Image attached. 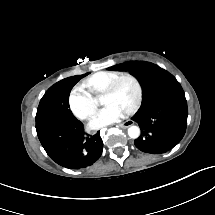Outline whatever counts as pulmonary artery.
<instances>
[{
    "mask_svg": "<svg viewBox=\"0 0 215 215\" xmlns=\"http://www.w3.org/2000/svg\"><path fill=\"white\" fill-rule=\"evenodd\" d=\"M92 82H93L94 86L101 88V87L105 86L107 79H106L105 75L98 73V74L94 75Z\"/></svg>",
    "mask_w": 215,
    "mask_h": 215,
    "instance_id": "1",
    "label": "pulmonary artery"
}]
</instances>
